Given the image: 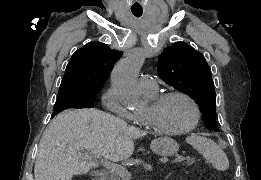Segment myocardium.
I'll return each instance as SVG.
<instances>
[{
	"label": "myocardium",
	"instance_id": "1",
	"mask_svg": "<svg viewBox=\"0 0 261 180\" xmlns=\"http://www.w3.org/2000/svg\"><path fill=\"white\" fill-rule=\"evenodd\" d=\"M174 96L182 97L191 104V106L194 110V117H193L191 124L182 132L174 133V134H167V135H158L156 133V131L150 125H148L147 123L143 122L142 120H140L139 118L136 117V124L142 130V132L144 133V135L146 137H148V138L163 137L166 139H182V138L186 137L188 134H190L197 127V125L199 124V121L201 119V109H200L198 102L190 94H188L184 91H180V90H171V91H167L164 93H156L153 96H146V98L148 99L149 106L151 108H155L157 106H160L166 99H168L170 97H174Z\"/></svg>",
	"mask_w": 261,
	"mask_h": 180
}]
</instances>
